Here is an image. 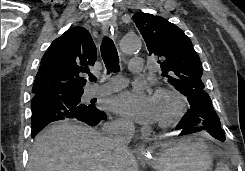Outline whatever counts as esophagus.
<instances>
[{"label": "esophagus", "mask_w": 245, "mask_h": 171, "mask_svg": "<svg viewBox=\"0 0 245 171\" xmlns=\"http://www.w3.org/2000/svg\"><path fill=\"white\" fill-rule=\"evenodd\" d=\"M102 31L105 36H109L110 32L112 33L110 29V25L108 23H104L102 25ZM141 151L144 157L148 158L149 157V152L145 151L143 147H141Z\"/></svg>", "instance_id": "34e87169"}]
</instances>
